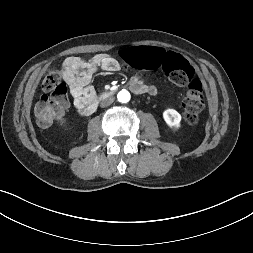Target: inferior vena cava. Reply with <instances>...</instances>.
<instances>
[{"label":"inferior vena cava","mask_w":253,"mask_h":253,"mask_svg":"<svg viewBox=\"0 0 253 253\" xmlns=\"http://www.w3.org/2000/svg\"><path fill=\"white\" fill-rule=\"evenodd\" d=\"M113 102H114L113 98H107L101 102L100 106L107 107V106L111 105Z\"/></svg>","instance_id":"obj_1"}]
</instances>
